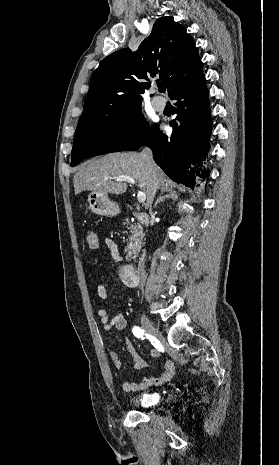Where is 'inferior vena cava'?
<instances>
[{
    "label": "inferior vena cava",
    "instance_id": "obj_1",
    "mask_svg": "<svg viewBox=\"0 0 279 465\" xmlns=\"http://www.w3.org/2000/svg\"><path fill=\"white\" fill-rule=\"evenodd\" d=\"M141 155H142L143 159L146 162V166L149 168V170L151 172V189H152V191H151V195H150V198H149V203H150L149 212H150V214H152L151 205H152L155 193H156L157 188H158V183H157V179H156V175H155V162L153 160L152 151L149 148H144ZM138 274L141 277H143V275H144V264L140 265Z\"/></svg>",
    "mask_w": 279,
    "mask_h": 465
}]
</instances>
